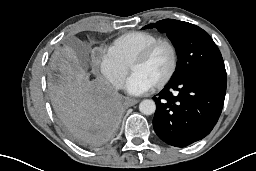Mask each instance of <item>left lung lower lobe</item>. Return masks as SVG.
<instances>
[{
	"label": "left lung lower lobe",
	"instance_id": "obj_1",
	"mask_svg": "<svg viewBox=\"0 0 256 171\" xmlns=\"http://www.w3.org/2000/svg\"><path fill=\"white\" fill-rule=\"evenodd\" d=\"M225 93V68L199 69L168 82L158 97L153 98L156 134L175 147L201 140L217 123Z\"/></svg>",
	"mask_w": 256,
	"mask_h": 171
}]
</instances>
